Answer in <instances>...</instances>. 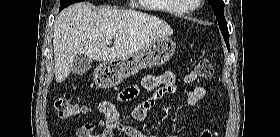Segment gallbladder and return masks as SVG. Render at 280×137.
Returning a JSON list of instances; mask_svg holds the SVG:
<instances>
[{
	"label": "gallbladder",
	"instance_id": "1",
	"mask_svg": "<svg viewBox=\"0 0 280 137\" xmlns=\"http://www.w3.org/2000/svg\"><path fill=\"white\" fill-rule=\"evenodd\" d=\"M93 60L85 54H78L73 59L72 73L75 75H84L92 67Z\"/></svg>",
	"mask_w": 280,
	"mask_h": 137
}]
</instances>
